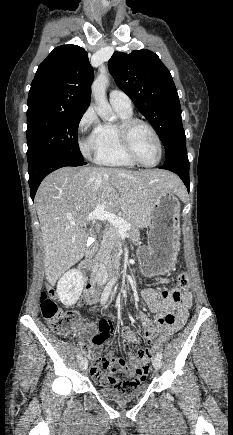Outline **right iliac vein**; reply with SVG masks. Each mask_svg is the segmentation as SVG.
Listing matches in <instances>:
<instances>
[{
	"label": "right iliac vein",
	"mask_w": 233,
	"mask_h": 435,
	"mask_svg": "<svg viewBox=\"0 0 233 435\" xmlns=\"http://www.w3.org/2000/svg\"><path fill=\"white\" fill-rule=\"evenodd\" d=\"M79 365H80V368H81L82 370H86L87 367H88V360H87V358H82V359L79 361Z\"/></svg>",
	"instance_id": "63e3f726"
}]
</instances>
